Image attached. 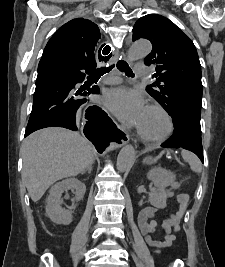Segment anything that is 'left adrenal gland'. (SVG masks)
<instances>
[{"instance_id": "a2214340", "label": "left adrenal gland", "mask_w": 225, "mask_h": 267, "mask_svg": "<svg viewBox=\"0 0 225 267\" xmlns=\"http://www.w3.org/2000/svg\"><path fill=\"white\" fill-rule=\"evenodd\" d=\"M144 163H147V164H148V161H147V160H145V161H144Z\"/></svg>"}]
</instances>
